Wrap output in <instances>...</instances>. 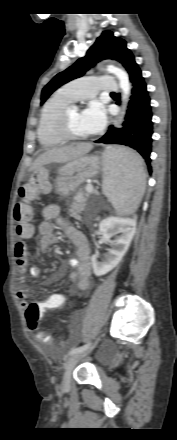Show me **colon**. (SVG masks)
Listing matches in <instances>:
<instances>
[{
    "instance_id": "colon-1",
    "label": "colon",
    "mask_w": 177,
    "mask_h": 440,
    "mask_svg": "<svg viewBox=\"0 0 177 440\" xmlns=\"http://www.w3.org/2000/svg\"><path fill=\"white\" fill-rule=\"evenodd\" d=\"M49 191L48 175L45 170H40L30 177L27 182L19 189L21 202H18L13 211L14 220L17 222L16 233L19 236H27L31 232L30 203L36 200L40 193ZM66 298H42L41 302L29 304L24 318L30 330H36L39 320L46 311H63L66 305ZM40 342L44 341L45 346H51L52 351L58 352L64 346V341L51 338L43 331L37 336Z\"/></svg>"
}]
</instances>
